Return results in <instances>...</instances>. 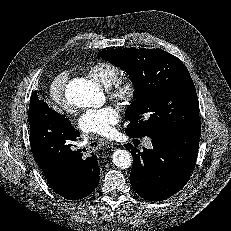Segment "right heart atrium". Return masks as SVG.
<instances>
[{
    "label": "right heart atrium",
    "instance_id": "right-heart-atrium-1",
    "mask_svg": "<svg viewBox=\"0 0 231 231\" xmlns=\"http://www.w3.org/2000/svg\"><path fill=\"white\" fill-rule=\"evenodd\" d=\"M69 80V74L66 71L57 73L50 84V95L55 103L66 112H70L71 108L65 99V88Z\"/></svg>",
    "mask_w": 231,
    "mask_h": 231
}]
</instances>
